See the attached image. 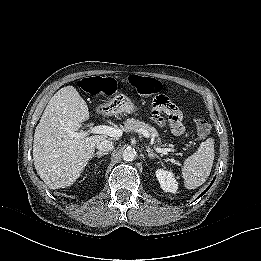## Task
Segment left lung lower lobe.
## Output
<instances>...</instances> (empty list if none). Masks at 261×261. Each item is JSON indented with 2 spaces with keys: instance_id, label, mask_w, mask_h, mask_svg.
Instances as JSON below:
<instances>
[{
  "instance_id": "0a47b994",
  "label": "left lung lower lobe",
  "mask_w": 261,
  "mask_h": 261,
  "mask_svg": "<svg viewBox=\"0 0 261 261\" xmlns=\"http://www.w3.org/2000/svg\"><path fill=\"white\" fill-rule=\"evenodd\" d=\"M210 186H211V185H210ZM210 186H209V187H210ZM209 187H208V189H209ZM208 189H207V190H208ZM207 190H206V191H207ZM206 191H205V192H206ZM205 192H204V193H205ZM204 193H202L201 195H203Z\"/></svg>"
}]
</instances>
